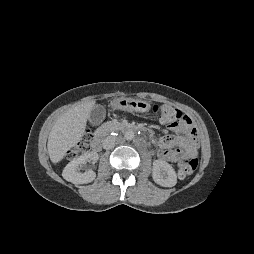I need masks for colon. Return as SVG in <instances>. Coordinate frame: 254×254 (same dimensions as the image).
Listing matches in <instances>:
<instances>
[{
	"label": "colon",
	"instance_id": "colon-1",
	"mask_svg": "<svg viewBox=\"0 0 254 254\" xmlns=\"http://www.w3.org/2000/svg\"><path fill=\"white\" fill-rule=\"evenodd\" d=\"M154 113L159 117L160 121L171 127H181L191 125V119L180 109L173 107L170 104H155L153 106ZM86 143L80 144V150L85 151ZM76 155L75 151L69 152L70 157ZM198 166V160L195 158L184 159L178 164V176L182 179L191 176Z\"/></svg>",
	"mask_w": 254,
	"mask_h": 254
}]
</instances>
